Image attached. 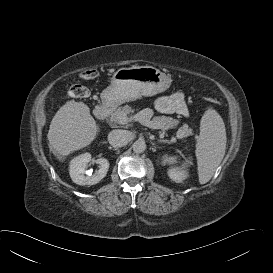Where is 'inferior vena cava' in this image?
<instances>
[{
    "mask_svg": "<svg viewBox=\"0 0 273 273\" xmlns=\"http://www.w3.org/2000/svg\"><path fill=\"white\" fill-rule=\"evenodd\" d=\"M130 137V133L127 130H112L108 134V142L115 148L123 147L130 141Z\"/></svg>",
    "mask_w": 273,
    "mask_h": 273,
    "instance_id": "obj_1",
    "label": "inferior vena cava"
}]
</instances>
